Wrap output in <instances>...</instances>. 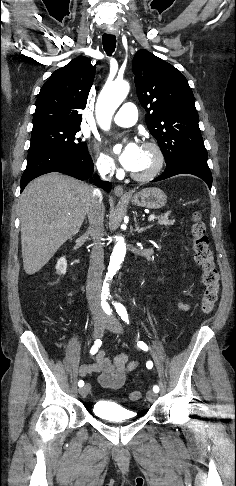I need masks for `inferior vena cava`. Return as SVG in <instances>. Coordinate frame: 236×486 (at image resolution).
Instances as JSON below:
<instances>
[{
	"label": "inferior vena cava",
	"mask_w": 236,
	"mask_h": 486,
	"mask_svg": "<svg viewBox=\"0 0 236 486\" xmlns=\"http://www.w3.org/2000/svg\"><path fill=\"white\" fill-rule=\"evenodd\" d=\"M99 174L103 179H111V164L101 162L97 165ZM104 204L101 190L93 189L91 203L87 209L89 220L88 234L93 239V248L90 255V265L87 276L86 295L90 310L94 315L101 314L100 305L101 281L104 269V251L101 239L103 237Z\"/></svg>",
	"instance_id": "1"
}]
</instances>
